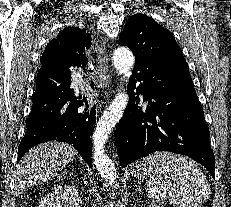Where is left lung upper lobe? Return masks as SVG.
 Masks as SVG:
<instances>
[{
	"mask_svg": "<svg viewBox=\"0 0 231 207\" xmlns=\"http://www.w3.org/2000/svg\"><path fill=\"white\" fill-rule=\"evenodd\" d=\"M136 60L144 59L172 71L189 73V67L172 33L144 14L131 16L120 34Z\"/></svg>",
	"mask_w": 231,
	"mask_h": 207,
	"instance_id": "5c2ea615",
	"label": "left lung upper lobe"
}]
</instances>
